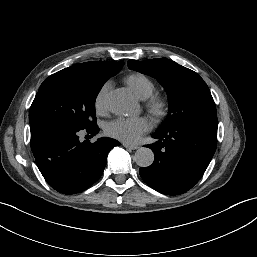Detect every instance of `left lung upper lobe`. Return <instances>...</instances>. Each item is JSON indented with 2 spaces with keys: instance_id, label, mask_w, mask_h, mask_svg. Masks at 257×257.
I'll use <instances>...</instances> for the list:
<instances>
[{
  "instance_id": "obj_1",
  "label": "left lung upper lobe",
  "mask_w": 257,
  "mask_h": 257,
  "mask_svg": "<svg viewBox=\"0 0 257 257\" xmlns=\"http://www.w3.org/2000/svg\"><path fill=\"white\" fill-rule=\"evenodd\" d=\"M128 67L156 78L166 90L169 111L158 131L196 117L216 114L210 90L196 72L166 58L129 60Z\"/></svg>"
}]
</instances>
